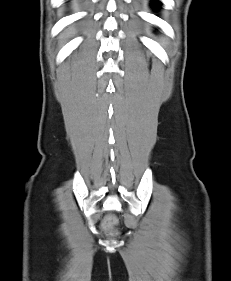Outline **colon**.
Here are the masks:
<instances>
[{
	"label": "colon",
	"instance_id": "colon-1",
	"mask_svg": "<svg viewBox=\"0 0 231 281\" xmlns=\"http://www.w3.org/2000/svg\"><path fill=\"white\" fill-rule=\"evenodd\" d=\"M116 224V220L114 217H108L104 222V228L108 232H112L114 226Z\"/></svg>",
	"mask_w": 231,
	"mask_h": 281
}]
</instances>
